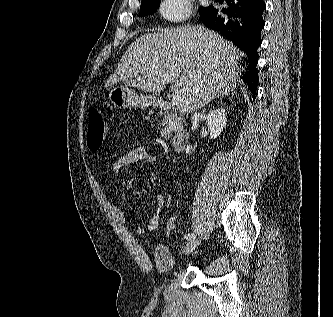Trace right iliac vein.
<instances>
[{"mask_svg":"<svg viewBox=\"0 0 333 317\" xmlns=\"http://www.w3.org/2000/svg\"><path fill=\"white\" fill-rule=\"evenodd\" d=\"M200 245V241L198 239L191 240L186 244V246L183 249V253L185 255L190 254L193 252L198 246Z\"/></svg>","mask_w":333,"mask_h":317,"instance_id":"right-iliac-vein-1","label":"right iliac vein"}]
</instances>
